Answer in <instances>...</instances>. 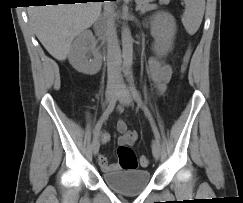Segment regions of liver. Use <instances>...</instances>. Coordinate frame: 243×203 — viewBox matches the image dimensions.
Wrapping results in <instances>:
<instances>
[{
    "mask_svg": "<svg viewBox=\"0 0 243 203\" xmlns=\"http://www.w3.org/2000/svg\"><path fill=\"white\" fill-rule=\"evenodd\" d=\"M102 2L30 6L28 15L35 34L57 60H65L73 39L100 17Z\"/></svg>",
    "mask_w": 243,
    "mask_h": 203,
    "instance_id": "6515ba94",
    "label": "liver"
}]
</instances>
